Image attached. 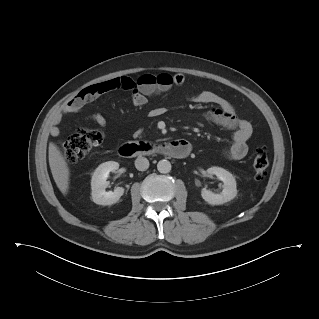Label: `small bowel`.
<instances>
[{
  "mask_svg": "<svg viewBox=\"0 0 319 319\" xmlns=\"http://www.w3.org/2000/svg\"><path fill=\"white\" fill-rule=\"evenodd\" d=\"M170 80L169 83H163L154 89L144 92L141 90H133L131 93V100L136 106H144L148 102V97L168 90L172 85L182 86L185 83V77L178 73L173 76L166 74ZM128 77H115L108 80L90 85L81 90L76 96L71 98L63 106L61 113L58 115L56 122L51 127V134L57 136L60 133L58 122L60 117L64 114H74L81 110V108L89 102L94 101L98 97L116 89L120 88V84ZM190 98L201 104H211L213 107L207 111L206 118L218 125L233 130V141L224 150V155L231 160H241L248 152L247 141L252 134V125L249 121L241 119L237 116L233 105L222 96L211 92L201 91L197 94L191 95ZM162 114V109L159 107L151 110L152 116ZM89 119L100 126H105L107 123L106 117L101 113H93Z\"/></svg>",
  "mask_w": 319,
  "mask_h": 319,
  "instance_id": "1",
  "label": "small bowel"
}]
</instances>
